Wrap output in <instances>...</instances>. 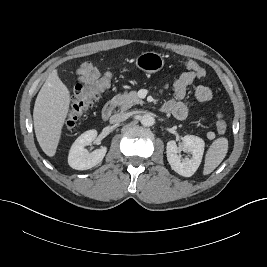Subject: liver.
<instances>
[{"mask_svg": "<svg viewBox=\"0 0 267 267\" xmlns=\"http://www.w3.org/2000/svg\"><path fill=\"white\" fill-rule=\"evenodd\" d=\"M70 92L53 70L40 89L33 110L34 129L43 152L53 157L70 105Z\"/></svg>", "mask_w": 267, "mask_h": 267, "instance_id": "obj_1", "label": "liver"}]
</instances>
